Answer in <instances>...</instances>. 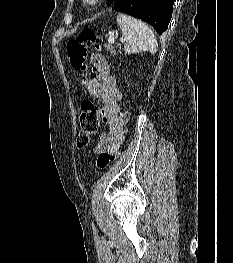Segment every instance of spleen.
Listing matches in <instances>:
<instances>
[{"label":"spleen","instance_id":"3e777b00","mask_svg":"<svg viewBox=\"0 0 233 263\" xmlns=\"http://www.w3.org/2000/svg\"><path fill=\"white\" fill-rule=\"evenodd\" d=\"M117 23L126 39L124 51L127 54L148 51L154 55L157 52V40L147 24L123 13L117 15Z\"/></svg>","mask_w":233,"mask_h":263}]
</instances>
